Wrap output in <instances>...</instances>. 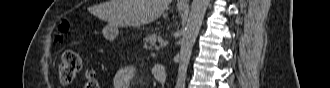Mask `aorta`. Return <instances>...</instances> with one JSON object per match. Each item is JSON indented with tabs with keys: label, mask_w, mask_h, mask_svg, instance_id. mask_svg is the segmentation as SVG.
I'll return each mask as SVG.
<instances>
[{
	"label": "aorta",
	"mask_w": 330,
	"mask_h": 88,
	"mask_svg": "<svg viewBox=\"0 0 330 88\" xmlns=\"http://www.w3.org/2000/svg\"><path fill=\"white\" fill-rule=\"evenodd\" d=\"M210 0H193L188 20L181 39L180 62L176 88H185L187 68L190 61L192 48L201 28L205 12Z\"/></svg>",
	"instance_id": "762f6f07"
}]
</instances>
